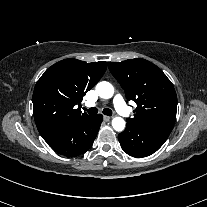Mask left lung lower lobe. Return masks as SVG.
<instances>
[{
  "label": "left lung lower lobe",
  "instance_id": "left-lung-lower-lobe-1",
  "mask_svg": "<svg viewBox=\"0 0 207 207\" xmlns=\"http://www.w3.org/2000/svg\"><path fill=\"white\" fill-rule=\"evenodd\" d=\"M168 136L140 129L127 123L126 129L118 135L122 149L133 157H146L156 152Z\"/></svg>",
  "mask_w": 207,
  "mask_h": 207
}]
</instances>
